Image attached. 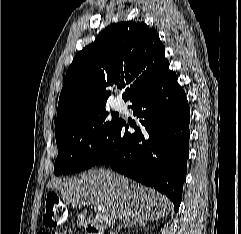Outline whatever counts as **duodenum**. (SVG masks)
<instances>
[{"mask_svg": "<svg viewBox=\"0 0 241 234\" xmlns=\"http://www.w3.org/2000/svg\"><path fill=\"white\" fill-rule=\"evenodd\" d=\"M79 220L87 234H103L101 227L89 219L86 214H81Z\"/></svg>", "mask_w": 241, "mask_h": 234, "instance_id": "1", "label": "duodenum"}]
</instances>
